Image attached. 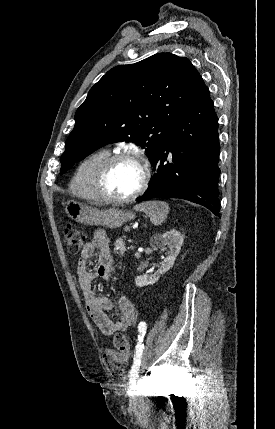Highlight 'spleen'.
I'll use <instances>...</instances> for the list:
<instances>
[{
  "instance_id": "3e777b00",
  "label": "spleen",
  "mask_w": 275,
  "mask_h": 429,
  "mask_svg": "<svg viewBox=\"0 0 275 429\" xmlns=\"http://www.w3.org/2000/svg\"><path fill=\"white\" fill-rule=\"evenodd\" d=\"M136 211L144 212L154 225H161L169 212V205L164 201H148L134 207Z\"/></svg>"
}]
</instances>
